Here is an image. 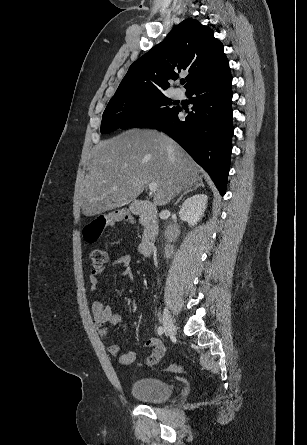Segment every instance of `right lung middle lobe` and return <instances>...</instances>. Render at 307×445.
I'll list each match as a JSON object with an SVG mask.
<instances>
[{"label":"right lung middle lobe","mask_w":307,"mask_h":445,"mask_svg":"<svg viewBox=\"0 0 307 445\" xmlns=\"http://www.w3.org/2000/svg\"><path fill=\"white\" fill-rule=\"evenodd\" d=\"M164 94L113 98L102 117L101 133L118 128H149L164 120L177 108Z\"/></svg>","instance_id":"1"}]
</instances>
